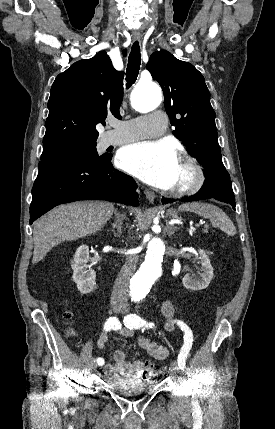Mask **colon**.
Here are the masks:
<instances>
[{"label":"colon","mask_w":275,"mask_h":429,"mask_svg":"<svg viewBox=\"0 0 275 429\" xmlns=\"http://www.w3.org/2000/svg\"><path fill=\"white\" fill-rule=\"evenodd\" d=\"M65 316H66V318H71L72 313L68 311L65 314ZM66 333H67L68 336H73L74 335V330L72 328H68L67 331H66ZM145 376L147 378L156 377V373H155V369H154L153 364L147 363L146 371H145Z\"/></svg>","instance_id":"1"}]
</instances>
